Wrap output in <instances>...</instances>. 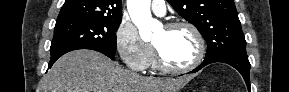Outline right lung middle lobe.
Returning <instances> with one entry per match:
<instances>
[{"instance_id": "right-lung-middle-lobe-1", "label": "right lung middle lobe", "mask_w": 289, "mask_h": 92, "mask_svg": "<svg viewBox=\"0 0 289 92\" xmlns=\"http://www.w3.org/2000/svg\"><path fill=\"white\" fill-rule=\"evenodd\" d=\"M121 19L67 18L56 21L51 42V59L76 49L116 52V34Z\"/></svg>"}]
</instances>
